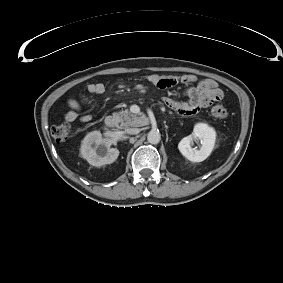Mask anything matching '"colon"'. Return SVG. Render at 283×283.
Wrapping results in <instances>:
<instances>
[{"instance_id": "5ec220e1", "label": "colon", "mask_w": 283, "mask_h": 283, "mask_svg": "<svg viewBox=\"0 0 283 283\" xmlns=\"http://www.w3.org/2000/svg\"><path fill=\"white\" fill-rule=\"evenodd\" d=\"M210 115L214 119L221 120L227 116V110L223 105L217 104L211 108ZM51 133L56 141L64 142L70 137L71 127L67 123H62L54 126Z\"/></svg>"}]
</instances>
